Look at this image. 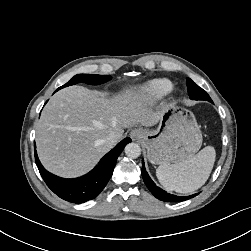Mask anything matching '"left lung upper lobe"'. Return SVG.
<instances>
[{"mask_svg": "<svg viewBox=\"0 0 251 251\" xmlns=\"http://www.w3.org/2000/svg\"><path fill=\"white\" fill-rule=\"evenodd\" d=\"M186 81H187L186 84H187L188 95L190 99L206 100L213 103L210 96L207 94L205 90H203L201 87L195 84L190 78H187Z\"/></svg>", "mask_w": 251, "mask_h": 251, "instance_id": "left-lung-upper-lobe-1", "label": "left lung upper lobe"}]
</instances>
